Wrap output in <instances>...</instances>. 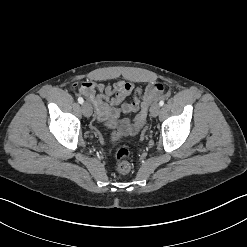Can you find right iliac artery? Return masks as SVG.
I'll return each instance as SVG.
<instances>
[{"label": "right iliac artery", "instance_id": "1", "mask_svg": "<svg viewBox=\"0 0 247 247\" xmlns=\"http://www.w3.org/2000/svg\"><path fill=\"white\" fill-rule=\"evenodd\" d=\"M78 102H79L80 104H83V102H84L83 98H82V97H79V98H78Z\"/></svg>", "mask_w": 247, "mask_h": 247}]
</instances>
